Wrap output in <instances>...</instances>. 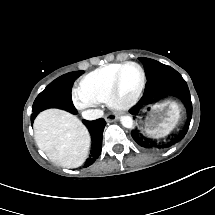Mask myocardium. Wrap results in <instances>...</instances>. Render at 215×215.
I'll use <instances>...</instances> for the list:
<instances>
[{
  "label": "myocardium",
  "instance_id": "f54148a6",
  "mask_svg": "<svg viewBox=\"0 0 215 215\" xmlns=\"http://www.w3.org/2000/svg\"><path fill=\"white\" fill-rule=\"evenodd\" d=\"M128 66L134 67L139 75L138 82L132 94L130 92L118 89L120 84L119 78L122 75L121 69ZM145 81L146 77L144 70L138 63L134 61H125L123 63H120L116 72L115 80L113 83L114 85H112L111 89L107 92L106 95L108 106L111 109H116L119 114H122L123 112L127 113L130 110V106L138 100L145 85Z\"/></svg>",
  "mask_w": 215,
  "mask_h": 215
}]
</instances>
